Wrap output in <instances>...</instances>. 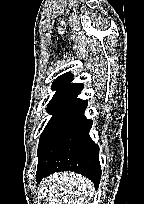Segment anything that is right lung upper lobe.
<instances>
[{
	"label": "right lung upper lobe",
	"instance_id": "obj_1",
	"mask_svg": "<svg viewBox=\"0 0 144 204\" xmlns=\"http://www.w3.org/2000/svg\"><path fill=\"white\" fill-rule=\"evenodd\" d=\"M72 74L70 72L59 76L53 83L52 90H56L52 99L57 98H72L76 99V96L83 89V84L71 83Z\"/></svg>",
	"mask_w": 144,
	"mask_h": 204
}]
</instances>
